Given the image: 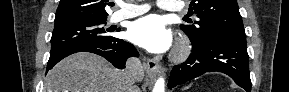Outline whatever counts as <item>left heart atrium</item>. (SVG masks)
Segmentation results:
<instances>
[{"label": "left heart atrium", "mask_w": 289, "mask_h": 92, "mask_svg": "<svg viewBox=\"0 0 289 92\" xmlns=\"http://www.w3.org/2000/svg\"><path fill=\"white\" fill-rule=\"evenodd\" d=\"M128 37L133 43L153 53L165 52L172 45L171 33L157 15L145 16L133 22Z\"/></svg>", "instance_id": "obj_1"}]
</instances>
